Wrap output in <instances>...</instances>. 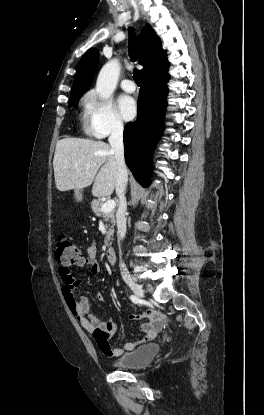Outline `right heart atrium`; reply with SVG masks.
<instances>
[{"label":"right heart atrium","instance_id":"d8ad5b80","mask_svg":"<svg viewBox=\"0 0 264 415\" xmlns=\"http://www.w3.org/2000/svg\"><path fill=\"white\" fill-rule=\"evenodd\" d=\"M87 107L88 126L93 135L106 137L124 129V123L111 101L91 94Z\"/></svg>","mask_w":264,"mask_h":415}]
</instances>
